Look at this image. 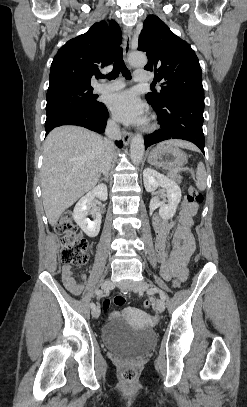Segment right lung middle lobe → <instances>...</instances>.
I'll return each mask as SVG.
<instances>
[{
    "label": "right lung middle lobe",
    "mask_w": 247,
    "mask_h": 407,
    "mask_svg": "<svg viewBox=\"0 0 247 407\" xmlns=\"http://www.w3.org/2000/svg\"><path fill=\"white\" fill-rule=\"evenodd\" d=\"M92 91V87L75 86L48 90L46 111L68 106L96 108L100 102L92 95Z\"/></svg>",
    "instance_id": "dd1d6c3e"
}]
</instances>
